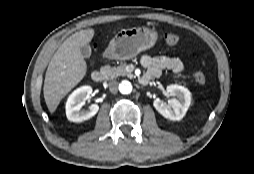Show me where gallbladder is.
<instances>
[{
  "label": "gallbladder",
  "mask_w": 254,
  "mask_h": 174,
  "mask_svg": "<svg viewBox=\"0 0 254 174\" xmlns=\"http://www.w3.org/2000/svg\"><path fill=\"white\" fill-rule=\"evenodd\" d=\"M81 54L84 58H89L92 53V49L89 45H84L80 48Z\"/></svg>",
  "instance_id": "gallbladder-1"
}]
</instances>
